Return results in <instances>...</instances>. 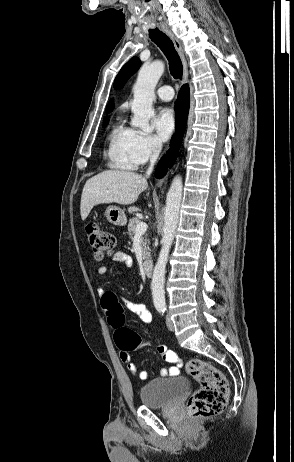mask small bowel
<instances>
[{"mask_svg": "<svg viewBox=\"0 0 294 462\" xmlns=\"http://www.w3.org/2000/svg\"><path fill=\"white\" fill-rule=\"evenodd\" d=\"M113 261L116 262H121L124 263L128 267L133 266V259L131 256L124 252H117L116 254L113 255L112 257ZM98 273L101 275H106L108 273V269L105 266H99L98 268ZM104 290L103 289H98V294L103 295ZM125 306L127 307L128 310L133 312L134 314L137 315L139 320L144 323V324H149L152 321V314L148 310L147 306L142 303H136L133 301L126 300L125 301ZM158 353L163 357L164 361L168 363H172L173 365L169 367L168 370L162 369L160 371V374L162 376L166 375H171V376H176L180 374L181 368H182V362L178 355L168 349V347L164 344H161L157 347ZM121 359L124 363L127 365L128 371L133 374V375H138L140 378L145 379L147 377L146 372H141L139 371L138 367L136 364H134L131 361L130 353L129 352H122L121 351Z\"/></svg>", "mask_w": 294, "mask_h": 462, "instance_id": "c3829d8e", "label": "small bowel"}]
</instances>
